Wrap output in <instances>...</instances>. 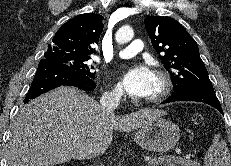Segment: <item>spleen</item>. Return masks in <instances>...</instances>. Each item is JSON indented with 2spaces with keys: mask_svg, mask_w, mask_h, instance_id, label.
Here are the masks:
<instances>
[{
  "mask_svg": "<svg viewBox=\"0 0 231 166\" xmlns=\"http://www.w3.org/2000/svg\"><path fill=\"white\" fill-rule=\"evenodd\" d=\"M205 166H231V158L228 152L227 143L221 140L219 134L213 138L204 157Z\"/></svg>",
  "mask_w": 231,
  "mask_h": 166,
  "instance_id": "spleen-1",
  "label": "spleen"
}]
</instances>
